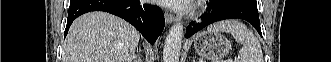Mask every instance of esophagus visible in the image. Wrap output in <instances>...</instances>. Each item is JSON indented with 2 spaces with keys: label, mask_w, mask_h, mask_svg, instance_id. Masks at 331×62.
<instances>
[{
  "label": "esophagus",
  "mask_w": 331,
  "mask_h": 62,
  "mask_svg": "<svg viewBox=\"0 0 331 62\" xmlns=\"http://www.w3.org/2000/svg\"><path fill=\"white\" fill-rule=\"evenodd\" d=\"M164 16H165V21L167 24L177 21V17L168 11H165Z\"/></svg>",
  "instance_id": "1"
}]
</instances>
